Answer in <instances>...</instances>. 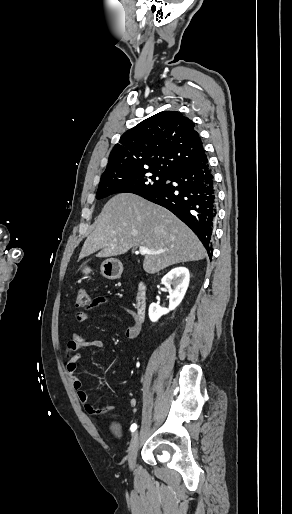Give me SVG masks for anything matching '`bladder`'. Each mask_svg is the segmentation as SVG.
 <instances>
[{"instance_id":"1","label":"bladder","mask_w":292,"mask_h":514,"mask_svg":"<svg viewBox=\"0 0 292 514\" xmlns=\"http://www.w3.org/2000/svg\"><path fill=\"white\" fill-rule=\"evenodd\" d=\"M116 431L118 432V434L120 433L119 429H116Z\"/></svg>"}]
</instances>
